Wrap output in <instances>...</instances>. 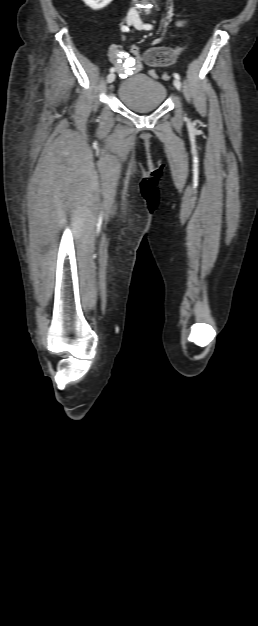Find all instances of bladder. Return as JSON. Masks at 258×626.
<instances>
[{"label":"bladder","instance_id":"obj_1","mask_svg":"<svg viewBox=\"0 0 258 626\" xmlns=\"http://www.w3.org/2000/svg\"><path fill=\"white\" fill-rule=\"evenodd\" d=\"M117 94L129 110L146 113L163 105L167 90L161 82L148 75H135L120 83Z\"/></svg>","mask_w":258,"mask_h":626}]
</instances>
